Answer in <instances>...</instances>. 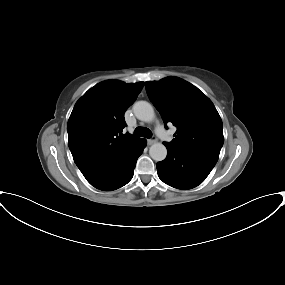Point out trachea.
Segmentation results:
<instances>
[{
  "mask_svg": "<svg viewBox=\"0 0 285 285\" xmlns=\"http://www.w3.org/2000/svg\"><path fill=\"white\" fill-rule=\"evenodd\" d=\"M134 136L150 138L152 136V133L148 128L139 126L135 129Z\"/></svg>",
  "mask_w": 285,
  "mask_h": 285,
  "instance_id": "trachea-1",
  "label": "trachea"
}]
</instances>
